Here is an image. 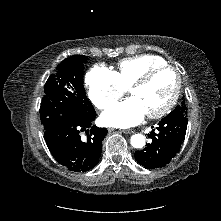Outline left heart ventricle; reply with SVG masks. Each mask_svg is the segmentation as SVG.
Returning a JSON list of instances; mask_svg holds the SVG:
<instances>
[{
    "mask_svg": "<svg viewBox=\"0 0 221 221\" xmlns=\"http://www.w3.org/2000/svg\"><path fill=\"white\" fill-rule=\"evenodd\" d=\"M176 86V76L171 70L157 73L145 86L134 89L132 97L137 98L147 113L162 109L170 100Z\"/></svg>",
    "mask_w": 221,
    "mask_h": 221,
    "instance_id": "b2bd125f",
    "label": "left heart ventricle"
}]
</instances>
